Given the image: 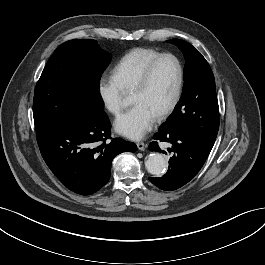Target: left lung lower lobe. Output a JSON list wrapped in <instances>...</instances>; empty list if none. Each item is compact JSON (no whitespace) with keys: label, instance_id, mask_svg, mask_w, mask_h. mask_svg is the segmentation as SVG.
Listing matches in <instances>:
<instances>
[{"label":"left lung lower lobe","instance_id":"left-lung-lower-lobe-1","mask_svg":"<svg viewBox=\"0 0 265 265\" xmlns=\"http://www.w3.org/2000/svg\"><path fill=\"white\" fill-rule=\"evenodd\" d=\"M154 139L156 141L149 145L151 151L161 152L158 141L172 144V148H168L173 156L167 173L160 178H149L151 183L165 191L176 190L193 179L211 151L198 138L183 132H158Z\"/></svg>","mask_w":265,"mask_h":265}]
</instances>
